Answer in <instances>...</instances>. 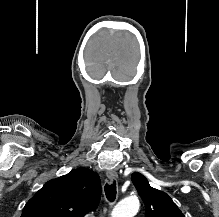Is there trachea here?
I'll list each match as a JSON object with an SVG mask.
<instances>
[{
  "instance_id": "1",
  "label": "trachea",
  "mask_w": 219,
  "mask_h": 217,
  "mask_svg": "<svg viewBox=\"0 0 219 217\" xmlns=\"http://www.w3.org/2000/svg\"><path fill=\"white\" fill-rule=\"evenodd\" d=\"M107 199L113 202L116 198V182L113 181L111 184H106L104 187Z\"/></svg>"
}]
</instances>
